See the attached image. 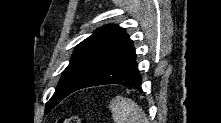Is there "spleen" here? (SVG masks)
I'll return each instance as SVG.
<instances>
[{
	"mask_svg": "<svg viewBox=\"0 0 221 123\" xmlns=\"http://www.w3.org/2000/svg\"><path fill=\"white\" fill-rule=\"evenodd\" d=\"M109 107L115 123H148L142 108L130 99L117 96Z\"/></svg>",
	"mask_w": 221,
	"mask_h": 123,
	"instance_id": "3e777b00",
	"label": "spleen"
}]
</instances>
